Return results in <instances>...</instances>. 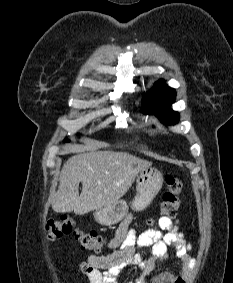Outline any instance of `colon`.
Masks as SVG:
<instances>
[{
    "label": "colon",
    "instance_id": "1",
    "mask_svg": "<svg viewBox=\"0 0 233 283\" xmlns=\"http://www.w3.org/2000/svg\"><path fill=\"white\" fill-rule=\"evenodd\" d=\"M166 190L163 194L160 215L157 219H150L149 226H154L160 218H173L177 215L180 206V194L182 184L179 178L173 175L165 177ZM47 237L55 241L64 235H73L83 249L99 253L103 250L106 240L95 231L80 229L69 217L63 216L59 219H50L46 223Z\"/></svg>",
    "mask_w": 233,
    "mask_h": 283
}]
</instances>
